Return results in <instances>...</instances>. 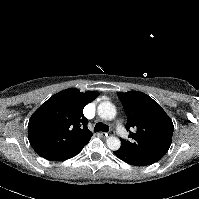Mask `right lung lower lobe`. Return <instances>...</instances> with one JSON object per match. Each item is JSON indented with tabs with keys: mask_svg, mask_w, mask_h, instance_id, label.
I'll return each mask as SVG.
<instances>
[{
	"mask_svg": "<svg viewBox=\"0 0 199 199\" xmlns=\"http://www.w3.org/2000/svg\"><path fill=\"white\" fill-rule=\"evenodd\" d=\"M88 142H89V140L75 146L74 148H72L68 151H65V152L57 154V155L45 156L44 158L48 159V160H52V161H63V160L69 159V158L77 155Z\"/></svg>",
	"mask_w": 199,
	"mask_h": 199,
	"instance_id": "98d812e1",
	"label": "right lung lower lobe"
}]
</instances>
